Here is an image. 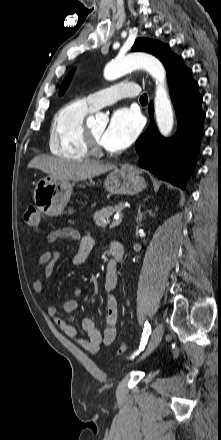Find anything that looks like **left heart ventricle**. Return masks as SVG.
I'll list each match as a JSON object with an SVG mask.
<instances>
[{
    "label": "left heart ventricle",
    "mask_w": 221,
    "mask_h": 440,
    "mask_svg": "<svg viewBox=\"0 0 221 440\" xmlns=\"http://www.w3.org/2000/svg\"><path fill=\"white\" fill-rule=\"evenodd\" d=\"M90 132L92 133V135L99 141V143L101 144V137L105 131V125H99V124H95V125H91L88 127Z\"/></svg>",
    "instance_id": "1"
}]
</instances>
